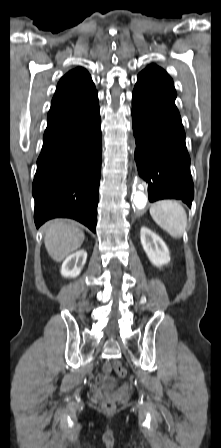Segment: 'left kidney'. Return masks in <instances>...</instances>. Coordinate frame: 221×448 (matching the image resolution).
<instances>
[{"label":"left kidney","mask_w":221,"mask_h":448,"mask_svg":"<svg viewBox=\"0 0 221 448\" xmlns=\"http://www.w3.org/2000/svg\"><path fill=\"white\" fill-rule=\"evenodd\" d=\"M140 235L143 249L153 265L161 267L170 262L169 249L156 233L142 227Z\"/></svg>","instance_id":"left-kidney-1"}]
</instances>
